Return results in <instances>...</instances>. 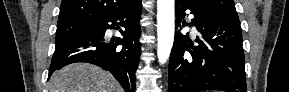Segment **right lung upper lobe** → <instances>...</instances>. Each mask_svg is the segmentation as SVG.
<instances>
[{
  "mask_svg": "<svg viewBox=\"0 0 289 92\" xmlns=\"http://www.w3.org/2000/svg\"><path fill=\"white\" fill-rule=\"evenodd\" d=\"M136 0H62L58 25L93 22L130 7Z\"/></svg>",
  "mask_w": 289,
  "mask_h": 92,
  "instance_id": "right-lung-upper-lobe-1",
  "label": "right lung upper lobe"
}]
</instances>
